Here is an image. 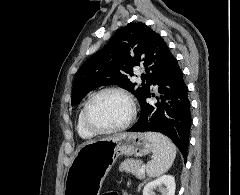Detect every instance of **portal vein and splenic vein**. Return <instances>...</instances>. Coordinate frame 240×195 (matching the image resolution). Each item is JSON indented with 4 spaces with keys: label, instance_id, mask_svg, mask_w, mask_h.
<instances>
[{
    "label": "portal vein and splenic vein",
    "instance_id": "18ae733b",
    "mask_svg": "<svg viewBox=\"0 0 240 195\" xmlns=\"http://www.w3.org/2000/svg\"><path fill=\"white\" fill-rule=\"evenodd\" d=\"M140 173H145V169H144V167H141V169H140Z\"/></svg>",
    "mask_w": 240,
    "mask_h": 195
}]
</instances>
